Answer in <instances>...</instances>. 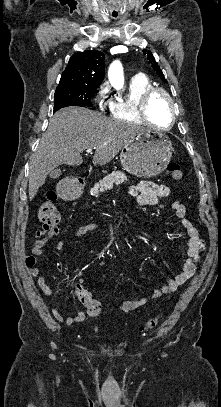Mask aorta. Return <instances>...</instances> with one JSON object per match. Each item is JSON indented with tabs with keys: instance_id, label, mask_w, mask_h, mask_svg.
<instances>
[{
	"instance_id": "aorta-1",
	"label": "aorta",
	"mask_w": 221,
	"mask_h": 407,
	"mask_svg": "<svg viewBox=\"0 0 221 407\" xmlns=\"http://www.w3.org/2000/svg\"><path fill=\"white\" fill-rule=\"evenodd\" d=\"M108 78L111 83V85L117 89L120 90L124 86V74H123V68L122 65L119 61H114L108 70Z\"/></svg>"
}]
</instances>
